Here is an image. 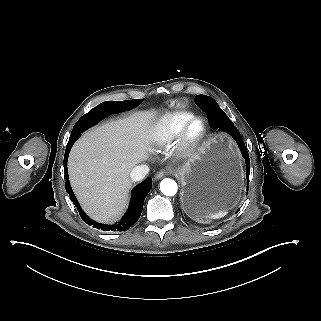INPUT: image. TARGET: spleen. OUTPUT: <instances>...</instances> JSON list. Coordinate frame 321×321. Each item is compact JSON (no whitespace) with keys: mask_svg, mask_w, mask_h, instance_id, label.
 Returning <instances> with one entry per match:
<instances>
[{"mask_svg":"<svg viewBox=\"0 0 321 321\" xmlns=\"http://www.w3.org/2000/svg\"><path fill=\"white\" fill-rule=\"evenodd\" d=\"M227 213H228L227 211H219L218 213L209 214L208 217L211 219H219V218L226 216Z\"/></svg>","mask_w":321,"mask_h":321,"instance_id":"spleen-1","label":"spleen"}]
</instances>
